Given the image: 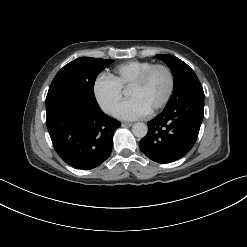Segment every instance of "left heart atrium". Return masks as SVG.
I'll use <instances>...</instances> for the list:
<instances>
[{
  "label": "left heart atrium",
  "mask_w": 247,
  "mask_h": 247,
  "mask_svg": "<svg viewBox=\"0 0 247 247\" xmlns=\"http://www.w3.org/2000/svg\"><path fill=\"white\" fill-rule=\"evenodd\" d=\"M149 111L138 99H130L116 109L115 115L123 120H135L146 116Z\"/></svg>",
  "instance_id": "obj_1"
}]
</instances>
